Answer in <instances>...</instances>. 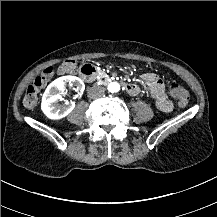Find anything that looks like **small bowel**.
Wrapping results in <instances>:
<instances>
[{
    "instance_id": "obj_1",
    "label": "small bowel",
    "mask_w": 217,
    "mask_h": 217,
    "mask_svg": "<svg viewBox=\"0 0 217 217\" xmlns=\"http://www.w3.org/2000/svg\"><path fill=\"white\" fill-rule=\"evenodd\" d=\"M142 80L152 89L155 99L158 102V108L165 113L171 112L173 105L164 94L162 82L159 77L154 74H144L142 75Z\"/></svg>"
}]
</instances>
